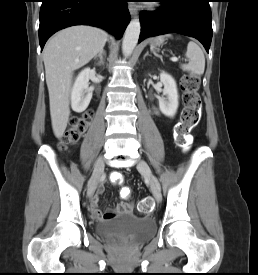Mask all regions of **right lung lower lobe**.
<instances>
[{"label":"right lung lower lobe","mask_w":258,"mask_h":275,"mask_svg":"<svg viewBox=\"0 0 258 275\" xmlns=\"http://www.w3.org/2000/svg\"><path fill=\"white\" fill-rule=\"evenodd\" d=\"M39 19L42 50L52 34L73 25L100 27L121 38L130 14L127 0H42Z\"/></svg>","instance_id":"98d812e1"}]
</instances>
